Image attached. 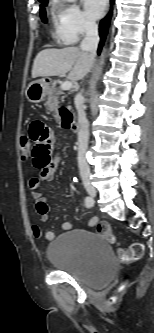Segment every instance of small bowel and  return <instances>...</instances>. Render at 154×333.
Wrapping results in <instances>:
<instances>
[{"instance_id": "obj_1", "label": "small bowel", "mask_w": 154, "mask_h": 333, "mask_svg": "<svg viewBox=\"0 0 154 333\" xmlns=\"http://www.w3.org/2000/svg\"><path fill=\"white\" fill-rule=\"evenodd\" d=\"M28 137L32 143L31 158L32 164L39 170V176L34 177L30 181V190L33 199L36 201V210L40 215L42 222L49 220V206L46 198L39 191L41 182H50L54 178V174L60 162V157L54 155V134L53 131L43 122L35 120L29 125ZM98 222L97 217H93L89 225L93 226ZM70 222H63L64 230L72 229ZM32 234L37 239L52 241L55 234L51 231L44 232L39 226L32 225Z\"/></svg>"}]
</instances>
